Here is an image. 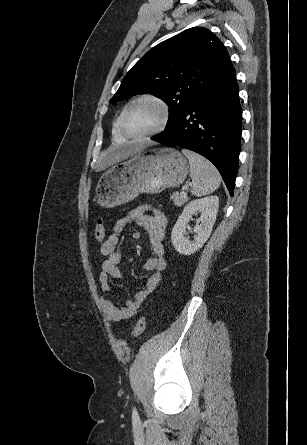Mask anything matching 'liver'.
Returning <instances> with one entry per match:
<instances>
[{"mask_svg":"<svg viewBox=\"0 0 307 445\" xmlns=\"http://www.w3.org/2000/svg\"><path fill=\"white\" fill-rule=\"evenodd\" d=\"M122 154H119L117 150H103L98 158V164H100L97 170H103L106 166H111L115 164L118 160H121Z\"/></svg>","mask_w":307,"mask_h":445,"instance_id":"obj_1","label":"liver"}]
</instances>
